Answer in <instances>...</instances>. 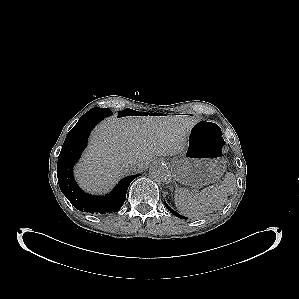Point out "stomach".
Instances as JSON below:
<instances>
[{
  "mask_svg": "<svg viewBox=\"0 0 299 299\" xmlns=\"http://www.w3.org/2000/svg\"><path fill=\"white\" fill-rule=\"evenodd\" d=\"M222 130L211 120H198L190 130L187 146L172 159L175 179L193 188L214 183L226 168Z\"/></svg>",
  "mask_w": 299,
  "mask_h": 299,
  "instance_id": "0dacf381",
  "label": "stomach"
}]
</instances>
